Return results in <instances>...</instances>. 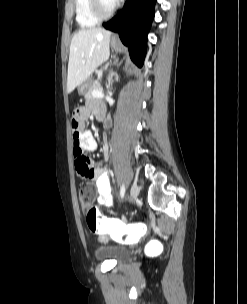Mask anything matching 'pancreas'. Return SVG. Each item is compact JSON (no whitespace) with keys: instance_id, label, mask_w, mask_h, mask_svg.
Listing matches in <instances>:
<instances>
[{"instance_id":"cf45deb5","label":"pancreas","mask_w":247,"mask_h":304,"mask_svg":"<svg viewBox=\"0 0 247 304\" xmlns=\"http://www.w3.org/2000/svg\"><path fill=\"white\" fill-rule=\"evenodd\" d=\"M94 90H102L99 81H94L86 86H83L80 89V92L84 94L86 100L92 99V91Z\"/></svg>"}]
</instances>
